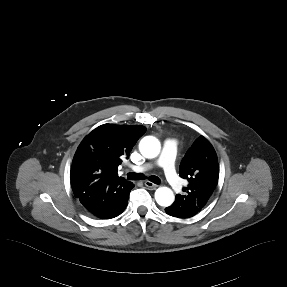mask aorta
<instances>
[{"label":"aorta","instance_id":"obj_1","mask_svg":"<svg viewBox=\"0 0 287 287\" xmlns=\"http://www.w3.org/2000/svg\"><path fill=\"white\" fill-rule=\"evenodd\" d=\"M160 142L153 136L144 137L139 144L141 154L146 158H155L160 153ZM174 193L168 187H159L155 192L156 202L163 207H168L174 202Z\"/></svg>","mask_w":287,"mask_h":287}]
</instances>
